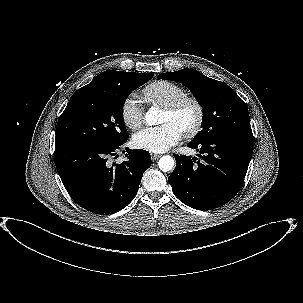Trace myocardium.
Wrapping results in <instances>:
<instances>
[{
	"mask_svg": "<svg viewBox=\"0 0 303 303\" xmlns=\"http://www.w3.org/2000/svg\"><path fill=\"white\" fill-rule=\"evenodd\" d=\"M187 104H190L194 107L195 120L189 128L182 131V134L186 138H193L201 131L204 122V108L198 99L188 95L183 96L172 104L165 106L164 111L175 114Z\"/></svg>",
	"mask_w": 303,
	"mask_h": 303,
	"instance_id": "obj_1",
	"label": "myocardium"
}]
</instances>
